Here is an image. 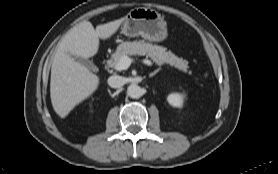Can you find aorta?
I'll use <instances>...</instances> for the list:
<instances>
[{
    "label": "aorta",
    "mask_w": 278,
    "mask_h": 174,
    "mask_svg": "<svg viewBox=\"0 0 278 174\" xmlns=\"http://www.w3.org/2000/svg\"><path fill=\"white\" fill-rule=\"evenodd\" d=\"M127 94L134 99L140 98L142 96V88L137 84H131L127 88Z\"/></svg>",
    "instance_id": "1"
}]
</instances>
